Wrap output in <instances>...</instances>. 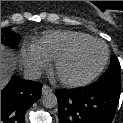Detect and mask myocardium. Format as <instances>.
I'll use <instances>...</instances> for the list:
<instances>
[{
    "label": "myocardium",
    "mask_w": 123,
    "mask_h": 123,
    "mask_svg": "<svg viewBox=\"0 0 123 123\" xmlns=\"http://www.w3.org/2000/svg\"><path fill=\"white\" fill-rule=\"evenodd\" d=\"M90 43H99L104 47V58H103L101 64L99 65V67L92 74H90L89 76H87L85 78L72 79V78L64 77L61 74L62 65L67 60H69L73 55H75L81 48H83L84 46H86ZM108 59H109V50H108V47L106 46V44L99 39L90 38V39H86V40H83V41H80V42L74 44L69 49H67L65 52H63L61 55H59L54 60L53 71H54L56 79L62 85L67 86V87H80V86L90 84L95 79H97L99 77V75L103 72V70L105 69V67L108 63Z\"/></svg>",
    "instance_id": "myocardium-1"
}]
</instances>
